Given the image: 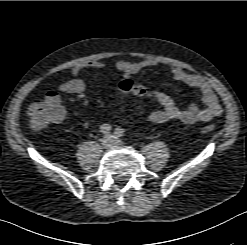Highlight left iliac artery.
<instances>
[{"label": "left iliac artery", "instance_id": "left-iliac-artery-1", "mask_svg": "<svg viewBox=\"0 0 247 245\" xmlns=\"http://www.w3.org/2000/svg\"><path fill=\"white\" fill-rule=\"evenodd\" d=\"M114 134H115V136H117V137H121V136L124 135V131H123V129H121V128H116L115 131H114Z\"/></svg>", "mask_w": 247, "mask_h": 245}]
</instances>
